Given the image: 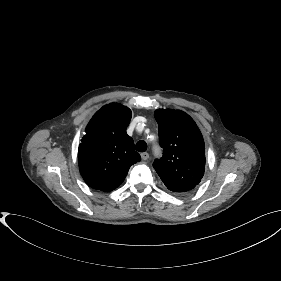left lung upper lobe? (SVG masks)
<instances>
[{
    "mask_svg": "<svg viewBox=\"0 0 281 281\" xmlns=\"http://www.w3.org/2000/svg\"><path fill=\"white\" fill-rule=\"evenodd\" d=\"M159 141L163 157L153 167L165 186L185 194L194 190L204 175L205 145L194 120L185 112L158 109Z\"/></svg>",
    "mask_w": 281,
    "mask_h": 281,
    "instance_id": "1",
    "label": "left lung upper lobe"
}]
</instances>
